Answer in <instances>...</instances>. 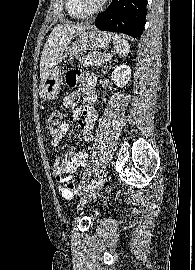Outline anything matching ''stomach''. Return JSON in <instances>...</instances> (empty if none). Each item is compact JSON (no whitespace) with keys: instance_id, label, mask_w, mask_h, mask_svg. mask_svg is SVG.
Listing matches in <instances>:
<instances>
[{"instance_id":"obj_1","label":"stomach","mask_w":195,"mask_h":270,"mask_svg":"<svg viewBox=\"0 0 195 270\" xmlns=\"http://www.w3.org/2000/svg\"><path fill=\"white\" fill-rule=\"evenodd\" d=\"M111 41V35L89 28L83 31L75 42L67 47L66 58L76 57L80 52L86 50H100L107 48ZM62 85V77L59 67L56 65L50 69L46 80L40 86V97L44 100H52L59 94Z\"/></svg>"}]
</instances>
